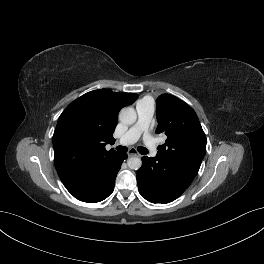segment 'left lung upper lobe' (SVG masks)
Listing matches in <instances>:
<instances>
[{
    "instance_id": "obj_1",
    "label": "left lung upper lobe",
    "mask_w": 264,
    "mask_h": 264,
    "mask_svg": "<svg viewBox=\"0 0 264 264\" xmlns=\"http://www.w3.org/2000/svg\"><path fill=\"white\" fill-rule=\"evenodd\" d=\"M157 120L156 133L167 135L157 154L179 158L186 168L200 166L206 153V136L195 111L177 97L162 94L157 98Z\"/></svg>"
}]
</instances>
